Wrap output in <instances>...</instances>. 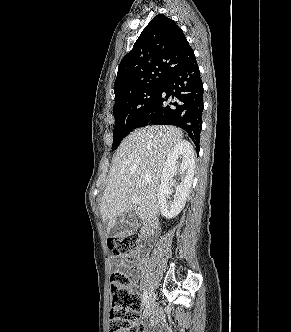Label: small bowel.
<instances>
[{
  "mask_svg": "<svg viewBox=\"0 0 291 332\" xmlns=\"http://www.w3.org/2000/svg\"><path fill=\"white\" fill-rule=\"evenodd\" d=\"M116 266L118 267H125L124 263L123 262H116Z\"/></svg>",
  "mask_w": 291,
  "mask_h": 332,
  "instance_id": "obj_1",
  "label": "small bowel"
}]
</instances>
